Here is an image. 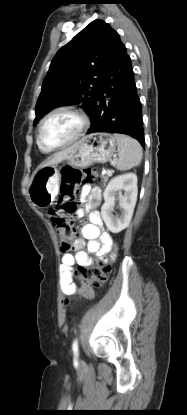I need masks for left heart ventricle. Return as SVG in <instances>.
Segmentation results:
<instances>
[{"instance_id":"left-heart-ventricle-1","label":"left heart ventricle","mask_w":187,"mask_h":415,"mask_svg":"<svg viewBox=\"0 0 187 415\" xmlns=\"http://www.w3.org/2000/svg\"><path fill=\"white\" fill-rule=\"evenodd\" d=\"M79 119L72 113L59 112L43 125L41 138L48 146H58L70 140L77 132Z\"/></svg>"}]
</instances>
